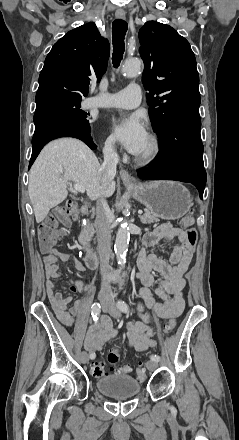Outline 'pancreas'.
<instances>
[{
  "mask_svg": "<svg viewBox=\"0 0 239 440\" xmlns=\"http://www.w3.org/2000/svg\"><path fill=\"white\" fill-rule=\"evenodd\" d=\"M139 218L142 224H156V222H160L156 216H152V214H150L149 210H145V214H143V216H139ZM92 234H94V232H92Z\"/></svg>",
  "mask_w": 239,
  "mask_h": 440,
  "instance_id": "obj_1",
  "label": "pancreas"
}]
</instances>
